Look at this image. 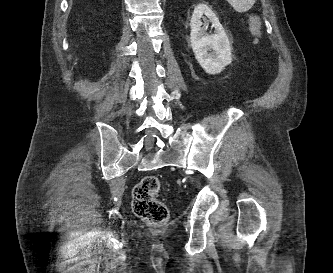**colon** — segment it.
<instances>
[{"label": "colon", "mask_w": 333, "mask_h": 273, "mask_svg": "<svg viewBox=\"0 0 333 273\" xmlns=\"http://www.w3.org/2000/svg\"><path fill=\"white\" fill-rule=\"evenodd\" d=\"M249 28L252 35L259 40L262 36V24L257 16L250 17ZM159 189L158 177L148 175L135 185L132 193L134 213L153 226L163 225L169 218L168 208L156 197Z\"/></svg>", "instance_id": "5ec220e1"}]
</instances>
